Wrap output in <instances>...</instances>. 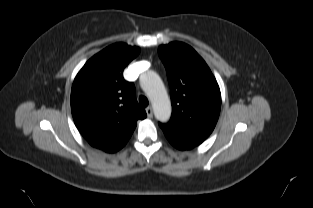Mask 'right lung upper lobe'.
<instances>
[{
  "label": "right lung upper lobe",
  "instance_id": "obj_1",
  "mask_svg": "<svg viewBox=\"0 0 313 208\" xmlns=\"http://www.w3.org/2000/svg\"><path fill=\"white\" fill-rule=\"evenodd\" d=\"M140 52L124 43L108 46L79 71L71 90L75 125L92 144L124 146L136 122L146 112L136 100L135 87L123 78V70Z\"/></svg>",
  "mask_w": 313,
  "mask_h": 208
}]
</instances>
